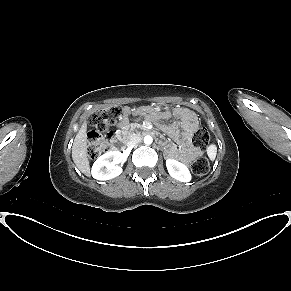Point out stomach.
<instances>
[{"mask_svg": "<svg viewBox=\"0 0 291 291\" xmlns=\"http://www.w3.org/2000/svg\"><path fill=\"white\" fill-rule=\"evenodd\" d=\"M156 108L158 109V111H162V112H172L175 108L167 103H157L156 104Z\"/></svg>", "mask_w": 291, "mask_h": 291, "instance_id": "0dacf381", "label": "stomach"}]
</instances>
